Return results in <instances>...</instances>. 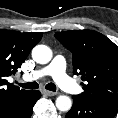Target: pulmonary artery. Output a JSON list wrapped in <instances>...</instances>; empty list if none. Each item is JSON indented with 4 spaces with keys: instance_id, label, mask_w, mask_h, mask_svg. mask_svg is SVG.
Masks as SVG:
<instances>
[{
    "instance_id": "obj_1",
    "label": "pulmonary artery",
    "mask_w": 118,
    "mask_h": 118,
    "mask_svg": "<svg viewBox=\"0 0 118 118\" xmlns=\"http://www.w3.org/2000/svg\"><path fill=\"white\" fill-rule=\"evenodd\" d=\"M47 75L51 76L58 86L67 92L80 91V87L66 74V61L62 56H56L46 67L25 74L23 79L34 81Z\"/></svg>"
}]
</instances>
